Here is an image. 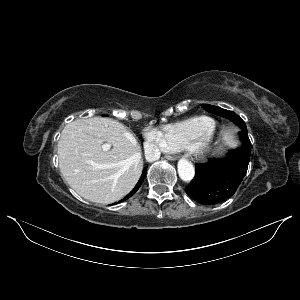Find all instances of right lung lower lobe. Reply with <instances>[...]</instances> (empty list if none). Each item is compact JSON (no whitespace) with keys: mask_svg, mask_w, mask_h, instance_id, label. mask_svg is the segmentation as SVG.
I'll use <instances>...</instances> for the list:
<instances>
[{"mask_svg":"<svg viewBox=\"0 0 300 300\" xmlns=\"http://www.w3.org/2000/svg\"><path fill=\"white\" fill-rule=\"evenodd\" d=\"M145 175H146V167L143 169L141 178L139 179L138 183L136 184V185H138V189L140 188L142 182L144 181ZM134 188H135V187H134ZM133 190H134V189H133ZM133 190H132V191H133ZM132 191H131V192H132ZM131 192H130V193H131ZM130 193H129L124 199H122L121 201H124V200L130 198V197L132 196ZM121 201H119V202H121Z\"/></svg>","mask_w":300,"mask_h":300,"instance_id":"1","label":"right lung lower lobe"}]
</instances>
